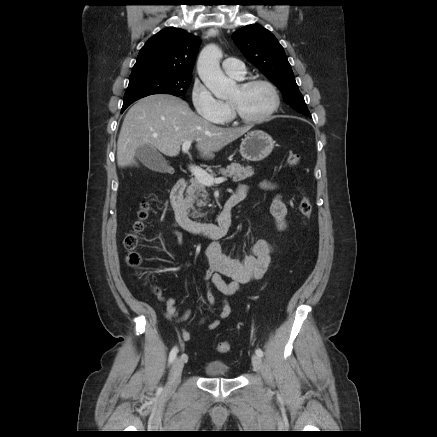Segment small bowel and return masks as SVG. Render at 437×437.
<instances>
[{
	"mask_svg": "<svg viewBox=\"0 0 437 437\" xmlns=\"http://www.w3.org/2000/svg\"><path fill=\"white\" fill-rule=\"evenodd\" d=\"M264 189L270 190L275 188L271 182L265 181L262 183ZM248 188L241 185L236 190L235 194L243 199L247 195ZM271 213L275 219L277 228L281 231L286 229L287 207L280 196L275 197L271 205ZM179 245L182 244V235L177 229V224L173 230ZM273 248L269 242L260 239L252 242L248 246V250L242 259L232 258L221 252L217 244H211L206 251V259L208 269L205 274L206 281V300L210 306L216 305V299L212 288L218 290L222 295L221 311L218 318L208 324L209 330L218 328L221 321L226 319L231 313V306L228 297L235 294L241 285L249 283L253 280L261 278L266 272L272 254ZM231 279L230 282L224 280L223 277ZM165 315L168 319L176 322L186 321L191 314L190 310H186L183 314H179L176 308V300L172 297L166 299ZM207 318H203L202 324ZM181 338L184 341L190 339V333L182 329Z\"/></svg>",
	"mask_w": 437,
	"mask_h": 437,
	"instance_id": "small-bowel-1",
	"label": "small bowel"
}]
</instances>
